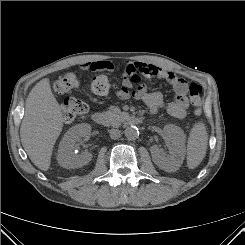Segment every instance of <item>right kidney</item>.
<instances>
[{"label": "right kidney", "mask_w": 245, "mask_h": 245, "mask_svg": "<svg viewBox=\"0 0 245 245\" xmlns=\"http://www.w3.org/2000/svg\"><path fill=\"white\" fill-rule=\"evenodd\" d=\"M91 126L87 123H82L70 128L59 144L57 160L60 166L71 169L79 168L87 165L91 159L92 154L83 152L75 154L76 144L84 137L90 135Z\"/></svg>", "instance_id": "ca27d5eb"}]
</instances>
